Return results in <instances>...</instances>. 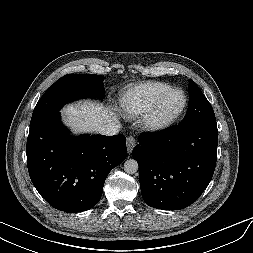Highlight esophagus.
<instances>
[{
	"label": "esophagus",
	"instance_id": "34e87169",
	"mask_svg": "<svg viewBox=\"0 0 253 253\" xmlns=\"http://www.w3.org/2000/svg\"><path fill=\"white\" fill-rule=\"evenodd\" d=\"M136 143H137V141L134 137L130 136L127 138V152H128V154H131Z\"/></svg>",
	"mask_w": 253,
	"mask_h": 253
}]
</instances>
